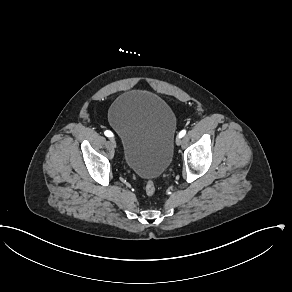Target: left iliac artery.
<instances>
[{"mask_svg":"<svg viewBox=\"0 0 292 292\" xmlns=\"http://www.w3.org/2000/svg\"><path fill=\"white\" fill-rule=\"evenodd\" d=\"M185 134H186V130L183 129L182 131L179 132V135H178V136H179L180 138H182V137L185 136Z\"/></svg>","mask_w":292,"mask_h":292,"instance_id":"obj_1","label":"left iliac artery"}]
</instances>
